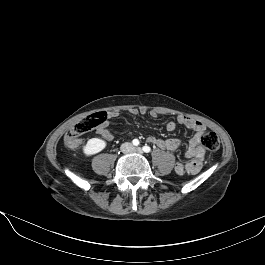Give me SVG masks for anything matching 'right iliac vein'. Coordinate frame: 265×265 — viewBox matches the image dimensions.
Segmentation results:
<instances>
[{
    "label": "right iliac vein",
    "mask_w": 265,
    "mask_h": 265,
    "mask_svg": "<svg viewBox=\"0 0 265 265\" xmlns=\"http://www.w3.org/2000/svg\"><path fill=\"white\" fill-rule=\"evenodd\" d=\"M132 148V145L131 144H124L123 145V151L125 152H129Z\"/></svg>",
    "instance_id": "obj_1"
}]
</instances>
